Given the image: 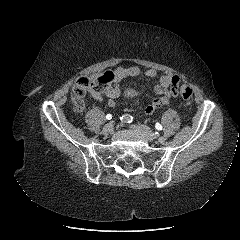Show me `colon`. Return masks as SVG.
I'll use <instances>...</instances> for the list:
<instances>
[{
    "label": "colon",
    "mask_w": 240,
    "mask_h": 240,
    "mask_svg": "<svg viewBox=\"0 0 240 240\" xmlns=\"http://www.w3.org/2000/svg\"><path fill=\"white\" fill-rule=\"evenodd\" d=\"M113 80L111 72H105L103 74H97L90 77L80 78L72 89V97L74 109L76 112H82L84 108L83 98L89 93L90 95H100L104 92L110 82ZM179 84H174V89H178ZM179 93L182 99L185 101L188 109L193 103L192 89L187 85H181L179 87Z\"/></svg>",
    "instance_id": "1"
}]
</instances>
